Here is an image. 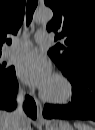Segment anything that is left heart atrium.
<instances>
[{"instance_id":"1","label":"left heart atrium","mask_w":95,"mask_h":130,"mask_svg":"<svg viewBox=\"0 0 95 130\" xmlns=\"http://www.w3.org/2000/svg\"><path fill=\"white\" fill-rule=\"evenodd\" d=\"M16 69L18 76L24 82L40 89H44L53 77L49 60L36 51L22 56Z\"/></svg>"}]
</instances>
